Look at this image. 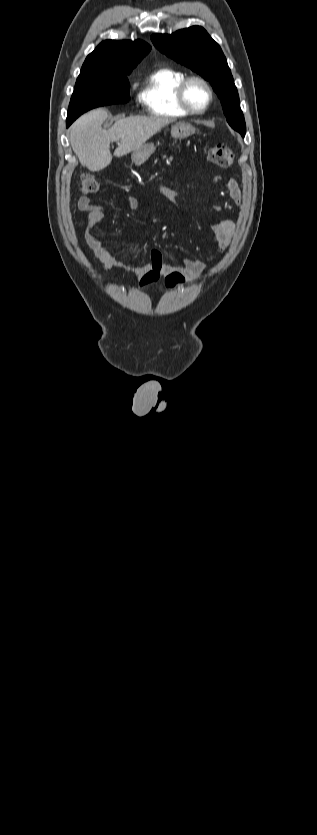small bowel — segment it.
Returning a JSON list of instances; mask_svg holds the SVG:
<instances>
[{"mask_svg": "<svg viewBox=\"0 0 317 835\" xmlns=\"http://www.w3.org/2000/svg\"><path fill=\"white\" fill-rule=\"evenodd\" d=\"M225 188L229 198L237 205L242 201V192L238 182L234 179H228L225 182ZM78 209L82 212H87V218L83 227V237L85 242L93 255L99 260L105 270L118 269L122 270L132 277H134L139 286L142 288L148 287L158 281L160 276L166 272L179 271L187 278H198L205 270V263L200 259H183L181 266L177 269L170 268L163 263V254L159 249H153L151 252V262L137 268H127L119 260H117L106 248H104L97 237V227L104 218V210L102 207L93 205L88 196H81L77 203ZM126 208L128 210H136L138 208L137 199L133 196L127 198ZM236 229V223L227 218L218 220L212 225V232L214 238L221 250H225L229 245Z\"/></svg>", "mask_w": 317, "mask_h": 835, "instance_id": "obj_1", "label": "small bowel"}]
</instances>
